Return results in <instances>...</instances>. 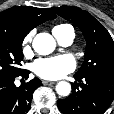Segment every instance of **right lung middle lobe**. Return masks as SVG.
I'll list each match as a JSON object with an SVG mask.
<instances>
[{
  "mask_svg": "<svg viewBox=\"0 0 114 114\" xmlns=\"http://www.w3.org/2000/svg\"><path fill=\"white\" fill-rule=\"evenodd\" d=\"M22 37L0 31V79H9L21 74L23 59Z\"/></svg>",
  "mask_w": 114,
  "mask_h": 114,
  "instance_id": "right-lung-middle-lobe-1",
  "label": "right lung middle lobe"
}]
</instances>
